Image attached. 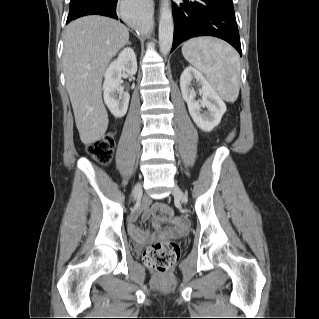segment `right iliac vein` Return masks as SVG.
Returning a JSON list of instances; mask_svg holds the SVG:
<instances>
[{
    "label": "right iliac vein",
    "instance_id": "right-iliac-vein-1",
    "mask_svg": "<svg viewBox=\"0 0 319 319\" xmlns=\"http://www.w3.org/2000/svg\"><path fill=\"white\" fill-rule=\"evenodd\" d=\"M141 192H142L141 183H137L133 189V198L140 196Z\"/></svg>",
    "mask_w": 319,
    "mask_h": 319
}]
</instances>
